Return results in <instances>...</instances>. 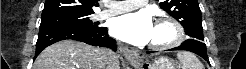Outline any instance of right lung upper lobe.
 <instances>
[{"label": "right lung upper lobe", "instance_id": "cb5924a9", "mask_svg": "<svg viewBox=\"0 0 246 69\" xmlns=\"http://www.w3.org/2000/svg\"><path fill=\"white\" fill-rule=\"evenodd\" d=\"M97 0H46L42 17L60 14H93Z\"/></svg>", "mask_w": 246, "mask_h": 69}]
</instances>
